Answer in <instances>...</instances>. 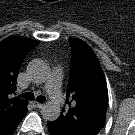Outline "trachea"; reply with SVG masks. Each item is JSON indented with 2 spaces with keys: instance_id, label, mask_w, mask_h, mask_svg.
I'll return each mask as SVG.
<instances>
[{
  "instance_id": "obj_1",
  "label": "trachea",
  "mask_w": 135,
  "mask_h": 135,
  "mask_svg": "<svg viewBox=\"0 0 135 135\" xmlns=\"http://www.w3.org/2000/svg\"><path fill=\"white\" fill-rule=\"evenodd\" d=\"M21 97L26 100H34V94L31 92L24 93L21 95ZM36 101L39 103H44L46 101V98L44 96H38L36 98Z\"/></svg>"
}]
</instances>
